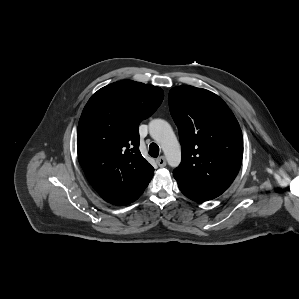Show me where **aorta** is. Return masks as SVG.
I'll list each match as a JSON object with an SVG mask.
<instances>
[{
    "label": "aorta",
    "instance_id": "obj_1",
    "mask_svg": "<svg viewBox=\"0 0 299 299\" xmlns=\"http://www.w3.org/2000/svg\"><path fill=\"white\" fill-rule=\"evenodd\" d=\"M149 133L162 148L168 164L177 167L181 161V148L170 124L162 119H154L149 124Z\"/></svg>",
    "mask_w": 299,
    "mask_h": 299
}]
</instances>
